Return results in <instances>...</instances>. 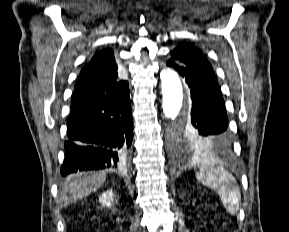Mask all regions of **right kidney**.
Listing matches in <instances>:
<instances>
[{"mask_svg": "<svg viewBox=\"0 0 289 232\" xmlns=\"http://www.w3.org/2000/svg\"><path fill=\"white\" fill-rule=\"evenodd\" d=\"M114 202L115 194L112 189L102 193L99 197V203L102 206L111 207Z\"/></svg>", "mask_w": 289, "mask_h": 232, "instance_id": "obj_1", "label": "right kidney"}]
</instances>
